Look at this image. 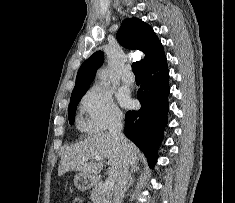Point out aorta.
Returning <instances> with one entry per match:
<instances>
[{
  "label": "aorta",
  "mask_w": 235,
  "mask_h": 203,
  "mask_svg": "<svg viewBox=\"0 0 235 203\" xmlns=\"http://www.w3.org/2000/svg\"><path fill=\"white\" fill-rule=\"evenodd\" d=\"M97 75H98V78H99L101 84L107 85L109 83L108 82V73L106 70H104V69L99 70Z\"/></svg>",
  "instance_id": "762f6f07"
}]
</instances>
